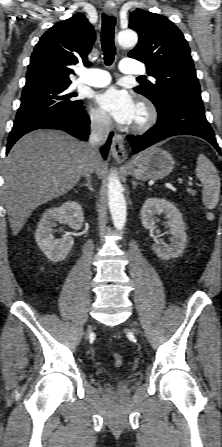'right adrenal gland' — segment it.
Listing matches in <instances>:
<instances>
[{"label":"right adrenal gland","mask_w":222,"mask_h":447,"mask_svg":"<svg viewBox=\"0 0 222 447\" xmlns=\"http://www.w3.org/2000/svg\"><path fill=\"white\" fill-rule=\"evenodd\" d=\"M79 186H86V187H88V189L90 190V191H94L93 190V187H92V180H91V178L90 177H88L87 178V181H86V183H82V184H80Z\"/></svg>","instance_id":"obj_1"}]
</instances>
